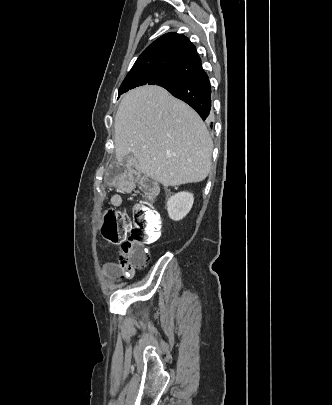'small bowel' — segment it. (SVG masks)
<instances>
[{
  "mask_svg": "<svg viewBox=\"0 0 332 405\" xmlns=\"http://www.w3.org/2000/svg\"><path fill=\"white\" fill-rule=\"evenodd\" d=\"M125 162H112L110 171L102 173L104 186H124L125 182L128 186H138L141 180L140 172H126ZM110 204L116 206L117 209H122L121 199L112 197ZM105 273L112 278L118 279L122 276L123 269L116 263H107L104 265Z\"/></svg>",
  "mask_w": 332,
  "mask_h": 405,
  "instance_id": "1",
  "label": "small bowel"
}]
</instances>
